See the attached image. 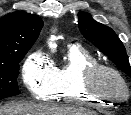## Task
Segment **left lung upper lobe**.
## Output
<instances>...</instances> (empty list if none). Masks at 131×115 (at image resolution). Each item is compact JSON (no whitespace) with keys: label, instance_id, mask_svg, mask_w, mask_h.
Segmentation results:
<instances>
[{"label":"left lung upper lobe","instance_id":"1","mask_svg":"<svg viewBox=\"0 0 131 115\" xmlns=\"http://www.w3.org/2000/svg\"><path fill=\"white\" fill-rule=\"evenodd\" d=\"M78 26L83 36L107 55L123 72L130 75V65L125 47L108 26L92 19L89 13H78Z\"/></svg>","mask_w":131,"mask_h":115}]
</instances>
